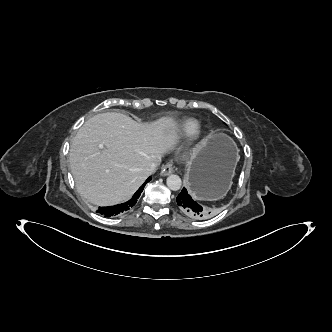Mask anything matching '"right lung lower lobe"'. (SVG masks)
<instances>
[{"mask_svg": "<svg viewBox=\"0 0 332 332\" xmlns=\"http://www.w3.org/2000/svg\"><path fill=\"white\" fill-rule=\"evenodd\" d=\"M150 180H151V177H149L146 180V182L138 189V191L133 195V197L129 201L119 204V205L111 206V207H99L98 212L100 214L104 215L105 217H110V216H113V215H116L119 213H123V212L129 210L136 204L137 199L141 195V192L143 191L144 186Z\"/></svg>", "mask_w": 332, "mask_h": 332, "instance_id": "1", "label": "right lung lower lobe"}]
</instances>
